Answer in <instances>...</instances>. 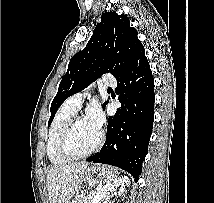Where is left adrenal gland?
I'll use <instances>...</instances> for the list:
<instances>
[{
    "instance_id": "1",
    "label": "left adrenal gland",
    "mask_w": 214,
    "mask_h": 203,
    "mask_svg": "<svg viewBox=\"0 0 214 203\" xmlns=\"http://www.w3.org/2000/svg\"><path fill=\"white\" fill-rule=\"evenodd\" d=\"M117 194H120V192H116V191L114 190V193H112L110 197L117 196ZM109 199H110V198H109Z\"/></svg>"
}]
</instances>
